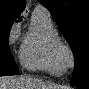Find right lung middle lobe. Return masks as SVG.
Here are the masks:
<instances>
[{
	"label": "right lung middle lobe",
	"instance_id": "right-lung-middle-lobe-1",
	"mask_svg": "<svg viewBox=\"0 0 89 89\" xmlns=\"http://www.w3.org/2000/svg\"><path fill=\"white\" fill-rule=\"evenodd\" d=\"M16 18L0 16V76L18 75L19 70L9 49V32Z\"/></svg>",
	"mask_w": 89,
	"mask_h": 89
}]
</instances>
